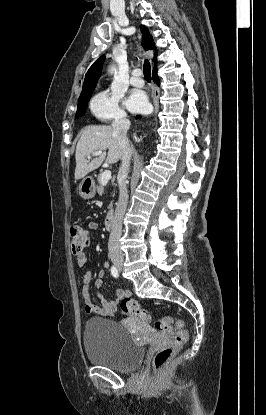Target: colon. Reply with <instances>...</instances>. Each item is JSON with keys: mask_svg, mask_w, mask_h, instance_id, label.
Returning <instances> with one entry per match:
<instances>
[{"mask_svg": "<svg viewBox=\"0 0 266 415\" xmlns=\"http://www.w3.org/2000/svg\"><path fill=\"white\" fill-rule=\"evenodd\" d=\"M70 245L74 254L82 253L83 249L89 243V233L81 225H73L69 233ZM121 312L125 315L137 317L142 321L150 322L151 315L149 311L142 308L137 301L131 298H124L120 303ZM156 328L172 338L168 345L158 350L152 360L154 370L159 371L166 367L171 359L178 353L188 338V332L185 323L180 319H173L170 316H164L156 322Z\"/></svg>", "mask_w": 266, "mask_h": 415, "instance_id": "5ec220e1", "label": "colon"}]
</instances>
